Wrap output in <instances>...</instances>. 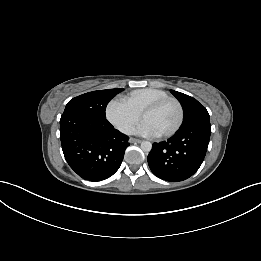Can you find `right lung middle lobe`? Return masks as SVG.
<instances>
[{
	"label": "right lung middle lobe",
	"instance_id": "dd1d6c3e",
	"mask_svg": "<svg viewBox=\"0 0 261 261\" xmlns=\"http://www.w3.org/2000/svg\"><path fill=\"white\" fill-rule=\"evenodd\" d=\"M123 89H107L82 94L71 99L64 113L75 112L87 116L106 118L105 110L108 102Z\"/></svg>",
	"mask_w": 261,
	"mask_h": 261
}]
</instances>
